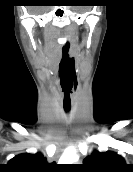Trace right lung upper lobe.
I'll list each match as a JSON object with an SVG mask.
<instances>
[{
	"label": "right lung upper lobe",
	"instance_id": "1",
	"mask_svg": "<svg viewBox=\"0 0 133 172\" xmlns=\"http://www.w3.org/2000/svg\"><path fill=\"white\" fill-rule=\"evenodd\" d=\"M41 153H23L12 158L3 167L6 172H46L48 164Z\"/></svg>",
	"mask_w": 133,
	"mask_h": 172
}]
</instances>
